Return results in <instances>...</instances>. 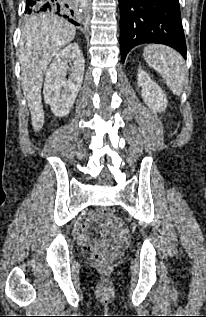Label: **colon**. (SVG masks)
<instances>
[{"mask_svg": "<svg viewBox=\"0 0 206 317\" xmlns=\"http://www.w3.org/2000/svg\"><path fill=\"white\" fill-rule=\"evenodd\" d=\"M99 219L101 221H112L117 227L123 225L119 219H112L111 212L108 209H100L98 211ZM84 248L91 252V259L98 267L110 266L117 257V252L104 246L100 240H92L84 245Z\"/></svg>", "mask_w": 206, "mask_h": 317, "instance_id": "obj_1", "label": "colon"}]
</instances>
